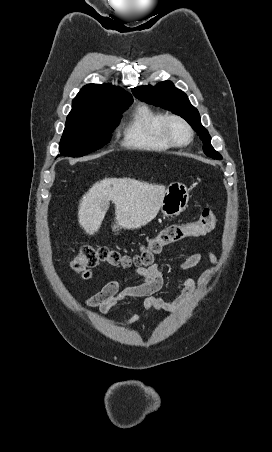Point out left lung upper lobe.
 <instances>
[{"mask_svg":"<svg viewBox=\"0 0 272 452\" xmlns=\"http://www.w3.org/2000/svg\"><path fill=\"white\" fill-rule=\"evenodd\" d=\"M133 94L146 103L160 106L184 118L198 133L203 141L204 153L213 159H222V156L211 145V137L200 122L198 110L193 107L187 95L174 87L171 81H163L156 86H140L132 88Z\"/></svg>","mask_w":272,"mask_h":452,"instance_id":"obj_1","label":"left lung upper lobe"}]
</instances>
